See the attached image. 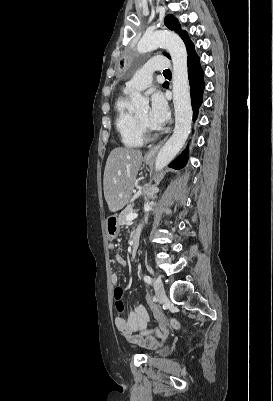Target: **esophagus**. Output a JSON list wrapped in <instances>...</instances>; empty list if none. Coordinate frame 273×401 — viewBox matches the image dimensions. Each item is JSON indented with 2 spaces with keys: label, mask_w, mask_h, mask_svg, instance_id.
<instances>
[{
  "label": "esophagus",
  "mask_w": 273,
  "mask_h": 401,
  "mask_svg": "<svg viewBox=\"0 0 273 401\" xmlns=\"http://www.w3.org/2000/svg\"><path fill=\"white\" fill-rule=\"evenodd\" d=\"M167 138H168V136L165 137L162 141H160L157 145L150 148V150H148L147 153H145V158L153 160L155 158L156 154L158 153V151L160 150V148L163 146V144L167 140Z\"/></svg>",
  "instance_id": "1"
}]
</instances>
